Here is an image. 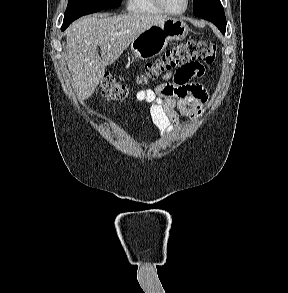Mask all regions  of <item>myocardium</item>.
<instances>
[{"instance_id": "f54148a6", "label": "myocardium", "mask_w": 288, "mask_h": 293, "mask_svg": "<svg viewBox=\"0 0 288 293\" xmlns=\"http://www.w3.org/2000/svg\"><path fill=\"white\" fill-rule=\"evenodd\" d=\"M154 1L163 12L170 14V15H174V16H178V15L185 13L189 7V2H190V0H185V5L181 10L172 11L169 8H167V6L164 4L163 0H154Z\"/></svg>"}]
</instances>
